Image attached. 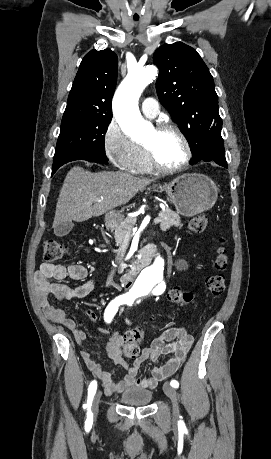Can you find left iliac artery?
<instances>
[{
  "label": "left iliac artery",
  "mask_w": 271,
  "mask_h": 459,
  "mask_svg": "<svg viewBox=\"0 0 271 459\" xmlns=\"http://www.w3.org/2000/svg\"><path fill=\"white\" fill-rule=\"evenodd\" d=\"M170 385H171L172 387H174V388H178L179 383H178V381H176V380H172V381L170 382Z\"/></svg>",
  "instance_id": "44dca946"
}]
</instances>
